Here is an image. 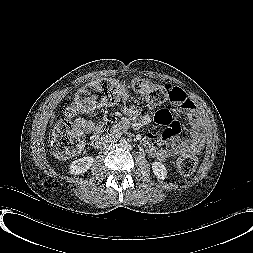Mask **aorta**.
Instances as JSON below:
<instances>
[{
  "label": "aorta",
  "instance_id": "obj_1",
  "mask_svg": "<svg viewBox=\"0 0 253 253\" xmlns=\"http://www.w3.org/2000/svg\"><path fill=\"white\" fill-rule=\"evenodd\" d=\"M119 147H120L123 151H126V150L129 148V145H128L127 141L123 139V140L120 141Z\"/></svg>",
  "mask_w": 253,
  "mask_h": 253
}]
</instances>
